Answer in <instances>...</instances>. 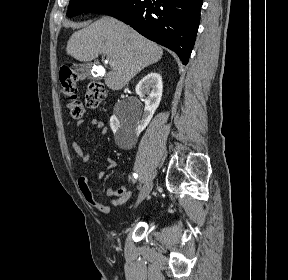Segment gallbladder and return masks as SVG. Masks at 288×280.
<instances>
[{
	"mask_svg": "<svg viewBox=\"0 0 288 280\" xmlns=\"http://www.w3.org/2000/svg\"><path fill=\"white\" fill-rule=\"evenodd\" d=\"M92 68V65L90 63H84L80 64L77 68V72L82 73L83 75H90V70Z\"/></svg>",
	"mask_w": 288,
	"mask_h": 280,
	"instance_id": "obj_1",
	"label": "gallbladder"
}]
</instances>
